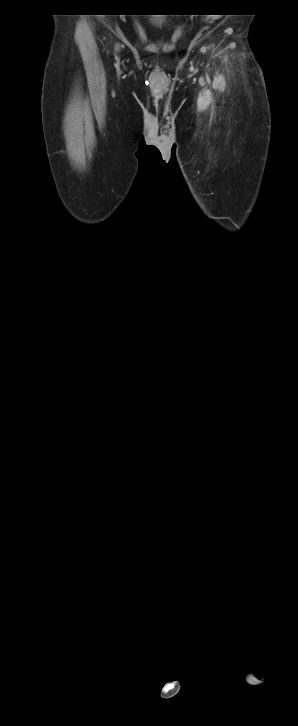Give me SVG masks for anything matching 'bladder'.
Wrapping results in <instances>:
<instances>
[{"label":"bladder","mask_w":298,"mask_h":726,"mask_svg":"<svg viewBox=\"0 0 298 726\" xmlns=\"http://www.w3.org/2000/svg\"><path fill=\"white\" fill-rule=\"evenodd\" d=\"M164 23H165V20L164 19H157V20L151 21V24L154 25V26H161Z\"/></svg>","instance_id":"1"}]
</instances>
